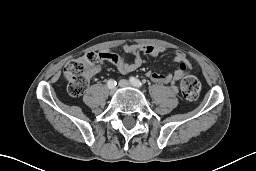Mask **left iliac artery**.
I'll list each match as a JSON object with an SVG mask.
<instances>
[{
	"label": "left iliac artery",
	"instance_id": "obj_1",
	"mask_svg": "<svg viewBox=\"0 0 256 171\" xmlns=\"http://www.w3.org/2000/svg\"><path fill=\"white\" fill-rule=\"evenodd\" d=\"M130 82L135 87H142L143 86L142 82L139 79L135 78V77H131Z\"/></svg>",
	"mask_w": 256,
	"mask_h": 171
}]
</instances>
